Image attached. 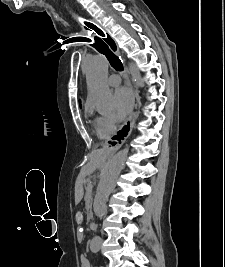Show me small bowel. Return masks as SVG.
Wrapping results in <instances>:
<instances>
[{"label":"small bowel","mask_w":225,"mask_h":267,"mask_svg":"<svg viewBox=\"0 0 225 267\" xmlns=\"http://www.w3.org/2000/svg\"><path fill=\"white\" fill-rule=\"evenodd\" d=\"M80 266L81 267H90L89 260L85 256H81L80 258Z\"/></svg>","instance_id":"1"}]
</instances>
